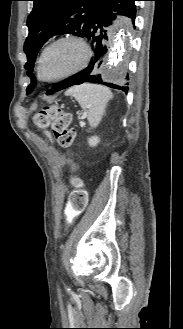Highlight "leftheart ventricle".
<instances>
[{
    "label": "left heart ventricle",
    "mask_w": 183,
    "mask_h": 329,
    "mask_svg": "<svg viewBox=\"0 0 183 329\" xmlns=\"http://www.w3.org/2000/svg\"><path fill=\"white\" fill-rule=\"evenodd\" d=\"M85 56L83 47L74 40H66L53 46L46 54L43 74L55 78L78 67Z\"/></svg>",
    "instance_id": "1"
}]
</instances>
